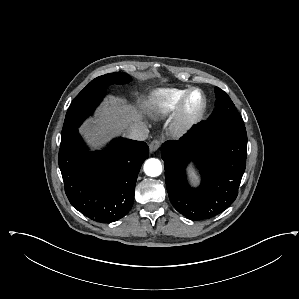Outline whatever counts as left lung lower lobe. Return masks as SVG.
Listing matches in <instances>:
<instances>
[{
  "label": "left lung lower lobe",
  "mask_w": 299,
  "mask_h": 299,
  "mask_svg": "<svg viewBox=\"0 0 299 299\" xmlns=\"http://www.w3.org/2000/svg\"><path fill=\"white\" fill-rule=\"evenodd\" d=\"M165 180L174 208L191 220L223 212L236 199L246 167L247 133L244 123L207 120L177 141L161 146ZM202 163V183L191 188L185 168Z\"/></svg>",
  "instance_id": "0a47b994"
}]
</instances>
